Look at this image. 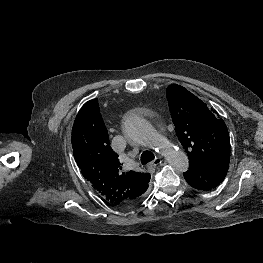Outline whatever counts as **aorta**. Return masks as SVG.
I'll return each mask as SVG.
<instances>
[{
    "label": "aorta",
    "instance_id": "obj_1",
    "mask_svg": "<svg viewBox=\"0 0 263 263\" xmlns=\"http://www.w3.org/2000/svg\"><path fill=\"white\" fill-rule=\"evenodd\" d=\"M123 128L125 134L131 140L149 146L161 153L176 171L185 172L188 169L189 160L187 155L158 136L144 118L138 115H130L125 119Z\"/></svg>",
    "mask_w": 263,
    "mask_h": 263
}]
</instances>
